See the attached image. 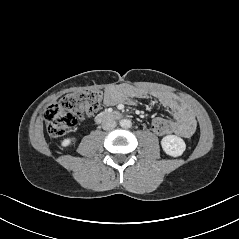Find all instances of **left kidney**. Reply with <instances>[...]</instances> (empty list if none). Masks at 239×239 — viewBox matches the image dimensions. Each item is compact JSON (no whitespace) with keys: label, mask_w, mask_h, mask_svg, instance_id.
Listing matches in <instances>:
<instances>
[{"label":"left kidney","mask_w":239,"mask_h":239,"mask_svg":"<svg viewBox=\"0 0 239 239\" xmlns=\"http://www.w3.org/2000/svg\"><path fill=\"white\" fill-rule=\"evenodd\" d=\"M161 146L164 152L172 157H178L186 149L184 140L175 135H167L161 140Z\"/></svg>","instance_id":"1"}]
</instances>
